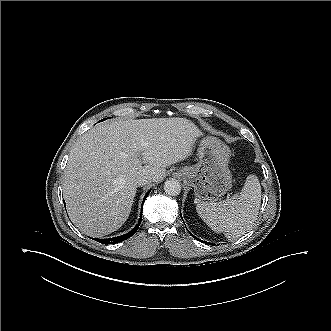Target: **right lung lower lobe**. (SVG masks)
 Segmentation results:
<instances>
[{"label":"right lung lower lobe","mask_w":331,"mask_h":331,"mask_svg":"<svg viewBox=\"0 0 331 331\" xmlns=\"http://www.w3.org/2000/svg\"><path fill=\"white\" fill-rule=\"evenodd\" d=\"M149 193H150V190L146 193V195L143 199V203H144L146 197L149 195ZM143 203H142V205H143ZM141 213H142V211H141ZM141 220H142V216H141L140 221L137 224V226L134 227L133 230H131L129 233H127L125 235H121V236L114 237V238H109V239H94V240H96L100 243H103V244H115V243H118V242H122V241L130 238L138 230V228L140 226V223H141Z\"/></svg>","instance_id":"obj_1"}]
</instances>
